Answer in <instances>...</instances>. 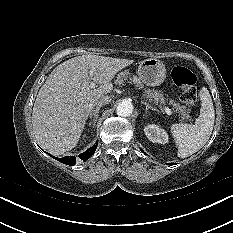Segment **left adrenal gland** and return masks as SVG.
<instances>
[{"label": "left adrenal gland", "mask_w": 233, "mask_h": 233, "mask_svg": "<svg viewBox=\"0 0 233 233\" xmlns=\"http://www.w3.org/2000/svg\"><path fill=\"white\" fill-rule=\"evenodd\" d=\"M142 104H144L146 106V112L151 109V110H154V111H158L155 107H152L151 105H149L148 103L146 102H143L141 101Z\"/></svg>", "instance_id": "a2214340"}]
</instances>
